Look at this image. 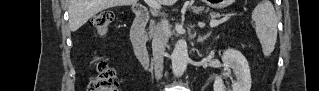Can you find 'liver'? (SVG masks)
<instances>
[{"label": "liver", "instance_id": "obj_1", "mask_svg": "<svg viewBox=\"0 0 319 91\" xmlns=\"http://www.w3.org/2000/svg\"><path fill=\"white\" fill-rule=\"evenodd\" d=\"M159 4L173 5L176 0H157ZM137 0H70L69 23L72 31L78 30L97 13L116 6L136 4Z\"/></svg>", "mask_w": 319, "mask_h": 91}]
</instances>
